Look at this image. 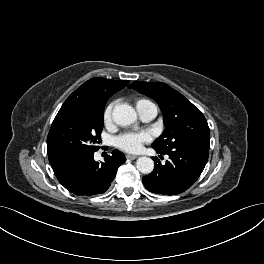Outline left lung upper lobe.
<instances>
[{"mask_svg": "<svg viewBox=\"0 0 264 264\" xmlns=\"http://www.w3.org/2000/svg\"><path fill=\"white\" fill-rule=\"evenodd\" d=\"M129 88L153 98L162 110L165 130L153 143L154 149L167 152L181 144L209 148L207 121L182 94L162 82H133Z\"/></svg>", "mask_w": 264, "mask_h": 264, "instance_id": "1", "label": "left lung upper lobe"}]
</instances>
